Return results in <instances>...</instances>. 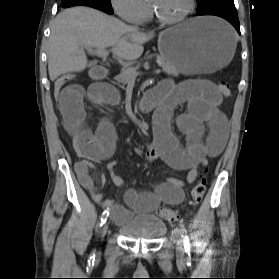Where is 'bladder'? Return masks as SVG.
I'll use <instances>...</instances> for the list:
<instances>
[{
  "instance_id": "bladder-1",
  "label": "bladder",
  "mask_w": 279,
  "mask_h": 279,
  "mask_svg": "<svg viewBox=\"0 0 279 279\" xmlns=\"http://www.w3.org/2000/svg\"><path fill=\"white\" fill-rule=\"evenodd\" d=\"M165 222L154 215L132 217L129 223L118 226L119 233L134 240L153 241L166 233Z\"/></svg>"
}]
</instances>
